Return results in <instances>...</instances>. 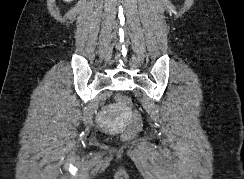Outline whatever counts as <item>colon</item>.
<instances>
[{
	"label": "colon",
	"mask_w": 244,
	"mask_h": 179,
	"mask_svg": "<svg viewBox=\"0 0 244 179\" xmlns=\"http://www.w3.org/2000/svg\"><path fill=\"white\" fill-rule=\"evenodd\" d=\"M113 100L118 101L121 105H124V107H133V102H131L130 96H120L119 93H116ZM129 113L131 115L133 125H129V128H127V133H122L123 142H132V138H138L141 125H144L141 112H137V110H130Z\"/></svg>",
	"instance_id": "colon-1"
}]
</instances>
